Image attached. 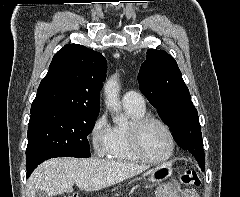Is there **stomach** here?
<instances>
[{
  "label": "stomach",
  "instance_id": "1",
  "mask_svg": "<svg viewBox=\"0 0 240 197\" xmlns=\"http://www.w3.org/2000/svg\"><path fill=\"white\" fill-rule=\"evenodd\" d=\"M172 175L171 166H164L152 170L148 176V181L152 183L161 182Z\"/></svg>",
  "mask_w": 240,
  "mask_h": 197
}]
</instances>
